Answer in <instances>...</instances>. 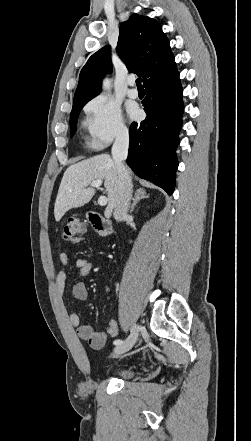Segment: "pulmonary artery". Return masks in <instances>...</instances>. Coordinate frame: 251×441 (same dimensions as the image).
I'll return each instance as SVG.
<instances>
[{"mask_svg":"<svg viewBox=\"0 0 251 441\" xmlns=\"http://www.w3.org/2000/svg\"><path fill=\"white\" fill-rule=\"evenodd\" d=\"M128 85H129V89H128V96L130 98H137L138 97V90L135 88V79L133 77H130L128 79Z\"/></svg>","mask_w":251,"mask_h":441,"instance_id":"1","label":"pulmonary artery"}]
</instances>
